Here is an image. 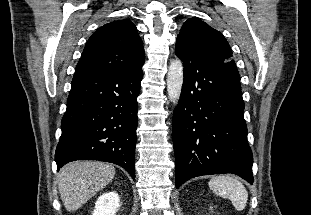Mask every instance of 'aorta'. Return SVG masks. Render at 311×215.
Here are the masks:
<instances>
[{
	"label": "aorta",
	"mask_w": 311,
	"mask_h": 215,
	"mask_svg": "<svg viewBox=\"0 0 311 215\" xmlns=\"http://www.w3.org/2000/svg\"><path fill=\"white\" fill-rule=\"evenodd\" d=\"M183 85V64L180 59H174L167 73V93L171 102L176 103L181 95Z\"/></svg>",
	"instance_id": "762f6f07"
}]
</instances>
